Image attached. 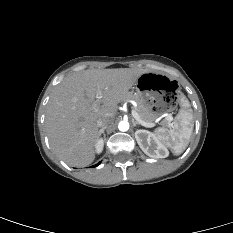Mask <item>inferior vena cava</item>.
I'll use <instances>...</instances> for the list:
<instances>
[{"mask_svg": "<svg viewBox=\"0 0 233 233\" xmlns=\"http://www.w3.org/2000/svg\"><path fill=\"white\" fill-rule=\"evenodd\" d=\"M112 123H113V120L110 117H102L98 119L97 126L100 128H106L108 125Z\"/></svg>", "mask_w": 233, "mask_h": 233, "instance_id": "1", "label": "inferior vena cava"}]
</instances>
